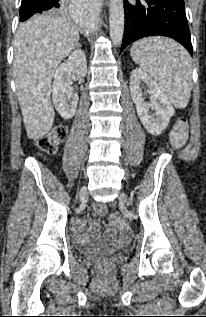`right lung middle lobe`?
Segmentation results:
<instances>
[{
	"label": "right lung middle lobe",
	"instance_id": "dd1d6c3e",
	"mask_svg": "<svg viewBox=\"0 0 206 317\" xmlns=\"http://www.w3.org/2000/svg\"><path fill=\"white\" fill-rule=\"evenodd\" d=\"M37 0H22L20 7V21H25L30 18L32 15L39 13L43 10H50L52 12L62 11L65 9L68 0H60L54 6L41 8L34 4L33 2ZM45 12V11H44ZM43 13V12H42Z\"/></svg>",
	"mask_w": 206,
	"mask_h": 317
}]
</instances>
